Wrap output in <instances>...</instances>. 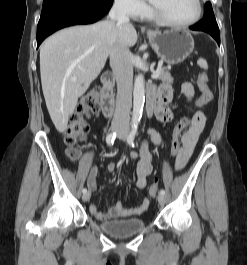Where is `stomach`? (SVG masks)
I'll return each instance as SVG.
<instances>
[{"label":"stomach","mask_w":247,"mask_h":265,"mask_svg":"<svg viewBox=\"0 0 247 265\" xmlns=\"http://www.w3.org/2000/svg\"><path fill=\"white\" fill-rule=\"evenodd\" d=\"M147 36L157 56L169 65L183 62L194 50V39L186 30L148 31Z\"/></svg>","instance_id":"stomach-1"}]
</instances>
